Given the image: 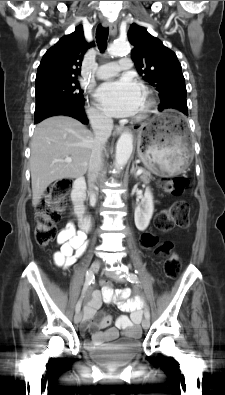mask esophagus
<instances>
[{"instance_id": "1", "label": "esophagus", "mask_w": 225, "mask_h": 395, "mask_svg": "<svg viewBox=\"0 0 225 395\" xmlns=\"http://www.w3.org/2000/svg\"><path fill=\"white\" fill-rule=\"evenodd\" d=\"M102 25L104 28H109L111 35H114L116 33V29L114 27V25L112 23H110L108 20H103ZM124 127L122 126H116L114 129V134L118 135L120 134L122 131H124Z\"/></svg>"}]
</instances>
